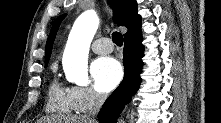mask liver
I'll return each mask as SVG.
<instances>
[{
  "label": "liver",
  "instance_id": "6515ba94",
  "mask_svg": "<svg viewBox=\"0 0 221 123\" xmlns=\"http://www.w3.org/2000/svg\"><path fill=\"white\" fill-rule=\"evenodd\" d=\"M55 123H94L92 120H90L87 116H73V117H63V118H57L56 120H53ZM48 122H52V120L48 119Z\"/></svg>",
  "mask_w": 221,
  "mask_h": 123
}]
</instances>
